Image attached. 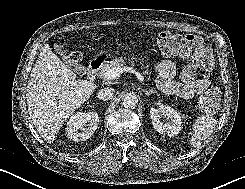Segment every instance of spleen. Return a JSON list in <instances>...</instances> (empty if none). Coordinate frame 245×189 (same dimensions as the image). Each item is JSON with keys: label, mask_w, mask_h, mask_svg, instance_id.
<instances>
[{"label": "spleen", "mask_w": 245, "mask_h": 189, "mask_svg": "<svg viewBox=\"0 0 245 189\" xmlns=\"http://www.w3.org/2000/svg\"><path fill=\"white\" fill-rule=\"evenodd\" d=\"M217 120L209 114L199 116L189 133V143L192 148H199L203 140L208 139L213 133Z\"/></svg>", "instance_id": "1"}]
</instances>
